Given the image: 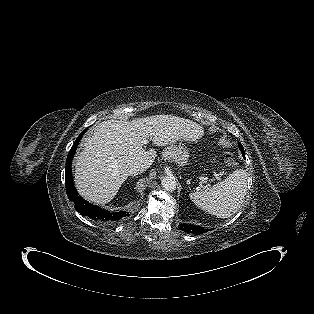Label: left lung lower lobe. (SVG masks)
<instances>
[{
    "label": "left lung lower lobe",
    "mask_w": 314,
    "mask_h": 314,
    "mask_svg": "<svg viewBox=\"0 0 314 314\" xmlns=\"http://www.w3.org/2000/svg\"><path fill=\"white\" fill-rule=\"evenodd\" d=\"M242 155L245 158V153L244 151H242ZM179 227L181 230L185 231V232H189V233H193V234H202L207 232V229L201 228V227H197V226H193V225H188V224H179Z\"/></svg>",
    "instance_id": "1"
}]
</instances>
